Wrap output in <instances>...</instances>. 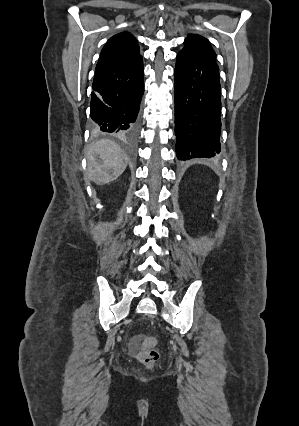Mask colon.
<instances>
[{"instance_id": "5ec220e1", "label": "colon", "mask_w": 299, "mask_h": 426, "mask_svg": "<svg viewBox=\"0 0 299 426\" xmlns=\"http://www.w3.org/2000/svg\"><path fill=\"white\" fill-rule=\"evenodd\" d=\"M142 348L138 353L139 360L148 367H152L159 360V351L156 349L157 339L154 337L138 335Z\"/></svg>"}]
</instances>
